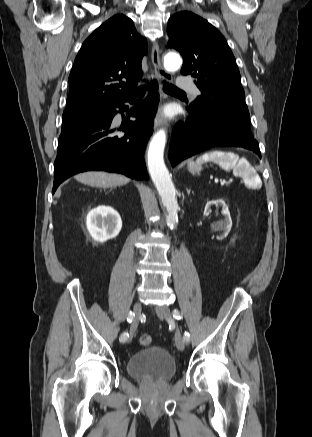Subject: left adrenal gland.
I'll return each mask as SVG.
<instances>
[{
  "label": "left adrenal gland",
  "mask_w": 312,
  "mask_h": 437,
  "mask_svg": "<svg viewBox=\"0 0 312 437\" xmlns=\"http://www.w3.org/2000/svg\"><path fill=\"white\" fill-rule=\"evenodd\" d=\"M187 193L190 194V190L187 189Z\"/></svg>",
  "instance_id": "left-adrenal-gland-1"
}]
</instances>
